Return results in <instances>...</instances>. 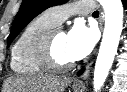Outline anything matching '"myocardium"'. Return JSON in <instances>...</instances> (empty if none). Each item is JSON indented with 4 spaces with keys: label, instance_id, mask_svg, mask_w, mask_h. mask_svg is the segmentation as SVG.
<instances>
[{
    "label": "myocardium",
    "instance_id": "f54148a6",
    "mask_svg": "<svg viewBox=\"0 0 127 92\" xmlns=\"http://www.w3.org/2000/svg\"><path fill=\"white\" fill-rule=\"evenodd\" d=\"M59 32H63L60 27H53L45 31L39 37L35 51L38 61L47 70L64 72L73 68L75 62H61L57 59L54 52V39Z\"/></svg>",
    "mask_w": 127,
    "mask_h": 92
}]
</instances>
